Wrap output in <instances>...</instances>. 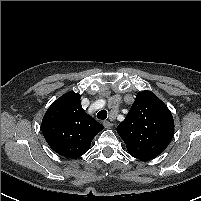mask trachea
Listing matches in <instances>:
<instances>
[{
    "label": "trachea",
    "instance_id": "3493384b",
    "mask_svg": "<svg viewBox=\"0 0 201 201\" xmlns=\"http://www.w3.org/2000/svg\"><path fill=\"white\" fill-rule=\"evenodd\" d=\"M97 118L100 120H104L107 118V111L106 110H101L97 113Z\"/></svg>",
    "mask_w": 201,
    "mask_h": 201
}]
</instances>
